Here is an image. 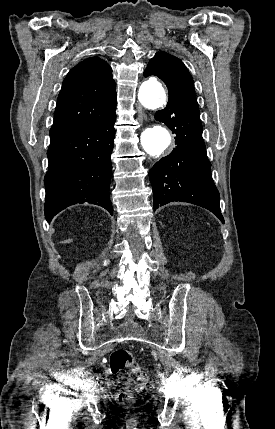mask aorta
<instances>
[{
	"mask_svg": "<svg viewBox=\"0 0 275 429\" xmlns=\"http://www.w3.org/2000/svg\"><path fill=\"white\" fill-rule=\"evenodd\" d=\"M140 103L147 109H157L166 103V93L162 84L155 78L143 82L138 93ZM171 135L163 126L146 128L141 134V145L146 153L160 156L171 144Z\"/></svg>",
	"mask_w": 275,
	"mask_h": 429,
	"instance_id": "1",
	"label": "aorta"
}]
</instances>
